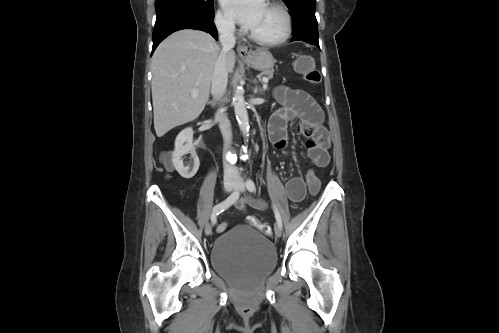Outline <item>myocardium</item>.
Returning a JSON list of instances; mask_svg holds the SVG:
<instances>
[{
  "mask_svg": "<svg viewBox=\"0 0 499 333\" xmlns=\"http://www.w3.org/2000/svg\"><path fill=\"white\" fill-rule=\"evenodd\" d=\"M267 6L277 9L281 12L284 18V31L282 35L273 40H265L257 37L251 30L249 31V37L257 44L263 46H276L284 43L291 35L292 32V18L288 9L279 2H270Z\"/></svg>",
  "mask_w": 499,
  "mask_h": 333,
  "instance_id": "myocardium-1",
  "label": "myocardium"
}]
</instances>
